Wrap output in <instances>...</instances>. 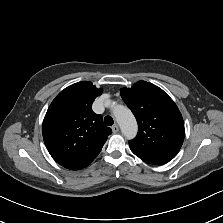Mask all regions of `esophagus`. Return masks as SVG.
<instances>
[{
	"instance_id": "esophagus-1",
	"label": "esophagus",
	"mask_w": 223,
	"mask_h": 223,
	"mask_svg": "<svg viewBox=\"0 0 223 223\" xmlns=\"http://www.w3.org/2000/svg\"><path fill=\"white\" fill-rule=\"evenodd\" d=\"M112 131H113V133H117V132L119 131V126H118V124H114V125L112 126Z\"/></svg>"
}]
</instances>
